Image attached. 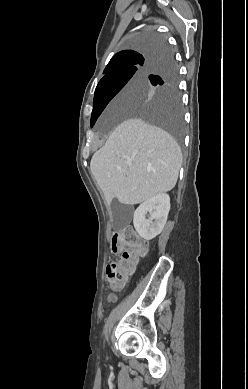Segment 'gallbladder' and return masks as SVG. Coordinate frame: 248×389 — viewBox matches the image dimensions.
Segmentation results:
<instances>
[{"instance_id":"1","label":"gallbladder","mask_w":248,"mask_h":389,"mask_svg":"<svg viewBox=\"0 0 248 389\" xmlns=\"http://www.w3.org/2000/svg\"><path fill=\"white\" fill-rule=\"evenodd\" d=\"M111 206L115 215L119 213V215H122V217H124L126 221L129 220L131 211V208L129 206H123L117 200H113Z\"/></svg>"}]
</instances>
